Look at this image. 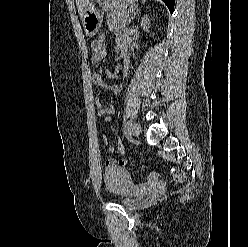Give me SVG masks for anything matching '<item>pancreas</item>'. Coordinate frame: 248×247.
Here are the masks:
<instances>
[{
    "label": "pancreas",
    "instance_id": "cf45deb5",
    "mask_svg": "<svg viewBox=\"0 0 248 247\" xmlns=\"http://www.w3.org/2000/svg\"><path fill=\"white\" fill-rule=\"evenodd\" d=\"M107 24L110 29H118L125 26L128 19V12L126 10L117 9L108 13Z\"/></svg>",
    "mask_w": 248,
    "mask_h": 247
}]
</instances>
